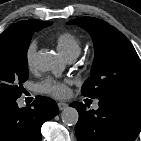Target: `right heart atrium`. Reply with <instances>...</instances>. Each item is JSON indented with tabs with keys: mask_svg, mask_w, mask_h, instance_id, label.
<instances>
[{
	"mask_svg": "<svg viewBox=\"0 0 141 141\" xmlns=\"http://www.w3.org/2000/svg\"><path fill=\"white\" fill-rule=\"evenodd\" d=\"M37 50V44L31 41L25 50V64L28 70H33L34 68V58Z\"/></svg>",
	"mask_w": 141,
	"mask_h": 141,
	"instance_id": "obj_1",
	"label": "right heart atrium"
}]
</instances>
